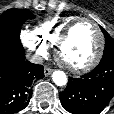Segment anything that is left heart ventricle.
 Here are the masks:
<instances>
[{
  "label": "left heart ventricle",
  "instance_id": "obj_1",
  "mask_svg": "<svg viewBox=\"0 0 114 114\" xmlns=\"http://www.w3.org/2000/svg\"><path fill=\"white\" fill-rule=\"evenodd\" d=\"M99 45L96 29L90 22L77 25L62 49L63 59L73 65L81 66L88 63L95 55Z\"/></svg>",
  "mask_w": 114,
  "mask_h": 114
}]
</instances>
